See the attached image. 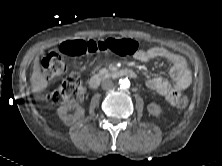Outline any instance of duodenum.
<instances>
[{"instance_id": "duodenum-1", "label": "duodenum", "mask_w": 222, "mask_h": 166, "mask_svg": "<svg viewBox=\"0 0 222 166\" xmlns=\"http://www.w3.org/2000/svg\"><path fill=\"white\" fill-rule=\"evenodd\" d=\"M117 75H121V76H127L130 78H135L136 77V73L128 68H122L116 71ZM102 81V76L99 74L93 75L89 81H88V86L90 89H97L100 85Z\"/></svg>"}]
</instances>
